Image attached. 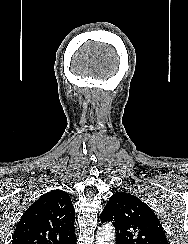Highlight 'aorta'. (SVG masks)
<instances>
[{
  "label": "aorta",
  "instance_id": "obj_1",
  "mask_svg": "<svg viewBox=\"0 0 188 244\" xmlns=\"http://www.w3.org/2000/svg\"><path fill=\"white\" fill-rule=\"evenodd\" d=\"M114 241V227L109 223L102 225L96 233V244H114Z\"/></svg>",
  "mask_w": 188,
  "mask_h": 244
}]
</instances>
